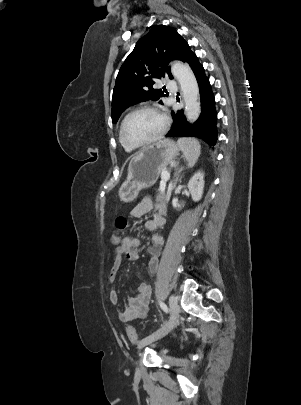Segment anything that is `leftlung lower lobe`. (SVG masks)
Listing matches in <instances>:
<instances>
[{
    "instance_id": "1",
    "label": "left lung lower lobe",
    "mask_w": 301,
    "mask_h": 405,
    "mask_svg": "<svg viewBox=\"0 0 301 405\" xmlns=\"http://www.w3.org/2000/svg\"><path fill=\"white\" fill-rule=\"evenodd\" d=\"M187 63L193 70L199 85L201 115L194 124H189L182 110L177 113L172 112L174 123L166 137H197L204 140L209 146H214L217 142V113L214 95L204 68L195 53L191 54Z\"/></svg>"
}]
</instances>
